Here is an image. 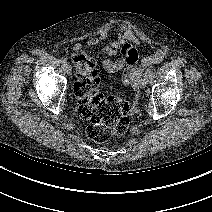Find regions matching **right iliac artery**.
Returning a JSON list of instances; mask_svg holds the SVG:
<instances>
[{"instance_id":"1","label":"right iliac artery","mask_w":212,"mask_h":212,"mask_svg":"<svg viewBox=\"0 0 212 212\" xmlns=\"http://www.w3.org/2000/svg\"><path fill=\"white\" fill-rule=\"evenodd\" d=\"M60 62H61L63 65L67 64L66 58H61Z\"/></svg>"}]
</instances>
